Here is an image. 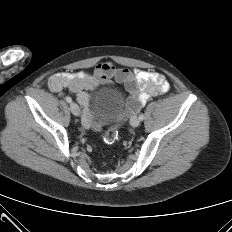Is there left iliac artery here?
I'll list each match as a JSON object with an SVG mask.
<instances>
[{
	"mask_svg": "<svg viewBox=\"0 0 232 232\" xmlns=\"http://www.w3.org/2000/svg\"><path fill=\"white\" fill-rule=\"evenodd\" d=\"M144 119V114L139 115V120L142 121Z\"/></svg>",
	"mask_w": 232,
	"mask_h": 232,
	"instance_id": "44dca946",
	"label": "left iliac artery"
}]
</instances>
